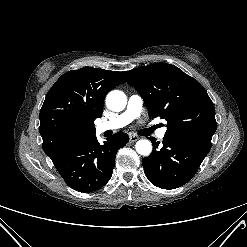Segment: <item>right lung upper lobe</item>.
<instances>
[{
    "mask_svg": "<svg viewBox=\"0 0 247 247\" xmlns=\"http://www.w3.org/2000/svg\"><path fill=\"white\" fill-rule=\"evenodd\" d=\"M120 72L92 67L62 75L48 91L40 110L43 150L56 162L77 142L94 136L106 94L124 83Z\"/></svg>",
    "mask_w": 247,
    "mask_h": 247,
    "instance_id": "1",
    "label": "right lung upper lobe"
}]
</instances>
